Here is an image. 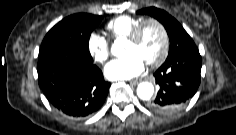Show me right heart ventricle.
I'll return each mask as SVG.
<instances>
[{
    "label": "right heart ventricle",
    "instance_id": "e07e8e85",
    "mask_svg": "<svg viewBox=\"0 0 236 135\" xmlns=\"http://www.w3.org/2000/svg\"><path fill=\"white\" fill-rule=\"evenodd\" d=\"M142 20V17L122 15L110 20L105 29L113 40L126 39Z\"/></svg>",
    "mask_w": 236,
    "mask_h": 135
}]
</instances>
